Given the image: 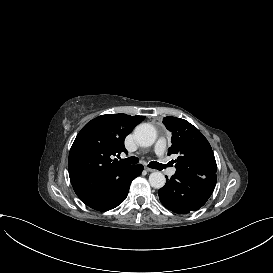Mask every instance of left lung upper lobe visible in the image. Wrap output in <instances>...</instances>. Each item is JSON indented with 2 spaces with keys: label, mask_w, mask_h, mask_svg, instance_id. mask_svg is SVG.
Returning <instances> with one entry per match:
<instances>
[{
  "label": "left lung upper lobe",
  "mask_w": 273,
  "mask_h": 273,
  "mask_svg": "<svg viewBox=\"0 0 273 273\" xmlns=\"http://www.w3.org/2000/svg\"><path fill=\"white\" fill-rule=\"evenodd\" d=\"M163 124L172 132L168 155H178L176 172L200 177L216 175L217 165L212 148L195 126L171 116L164 117Z\"/></svg>",
  "instance_id": "left-lung-upper-lobe-1"
}]
</instances>
